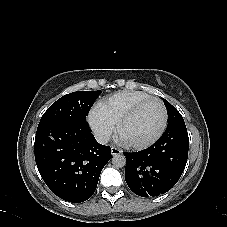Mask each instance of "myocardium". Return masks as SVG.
I'll use <instances>...</instances> for the list:
<instances>
[{
	"label": "myocardium",
	"instance_id": "obj_1",
	"mask_svg": "<svg viewBox=\"0 0 227 227\" xmlns=\"http://www.w3.org/2000/svg\"><path fill=\"white\" fill-rule=\"evenodd\" d=\"M150 101H156L158 102L163 110V121L161 123L160 128L158 129V131L154 134L153 137H151L150 139L144 141V142H139V143H135V142H126V144L134 149H145L148 148L150 146H152L153 144H155L160 138L161 136L164 134L166 128H167V124H168V111H167V107L165 105V103L157 98V97H148L142 101H140L139 103H137L135 106H133L127 113H125L120 120L117 123V133L118 135L121 137V133H122V129L123 127L130 121L132 120L135 115L137 114V112L140 110L141 107H143L145 104H147Z\"/></svg>",
	"mask_w": 227,
	"mask_h": 227
}]
</instances>
